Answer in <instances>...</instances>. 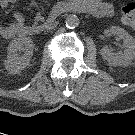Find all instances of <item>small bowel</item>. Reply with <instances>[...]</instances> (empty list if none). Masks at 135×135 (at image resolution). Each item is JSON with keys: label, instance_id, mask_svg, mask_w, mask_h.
I'll return each mask as SVG.
<instances>
[{"label": "small bowel", "instance_id": "c3829d8e", "mask_svg": "<svg viewBox=\"0 0 135 135\" xmlns=\"http://www.w3.org/2000/svg\"><path fill=\"white\" fill-rule=\"evenodd\" d=\"M19 0H0V7L7 8ZM88 11L96 17H109L114 13L110 2L104 0H84ZM24 18L20 13L14 15V22L9 26H0V35L6 39L25 34Z\"/></svg>", "mask_w": 135, "mask_h": 135}]
</instances>
